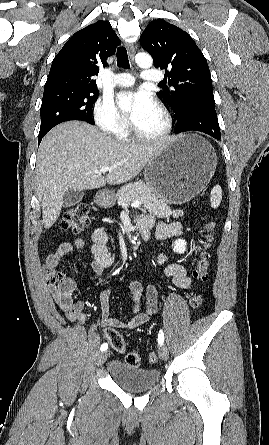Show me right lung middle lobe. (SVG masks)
Returning a JSON list of instances; mask_svg holds the SVG:
<instances>
[{"label":"right lung middle lobe","instance_id":"1","mask_svg":"<svg viewBox=\"0 0 269 445\" xmlns=\"http://www.w3.org/2000/svg\"><path fill=\"white\" fill-rule=\"evenodd\" d=\"M99 96L97 90L57 89L43 93L40 108V143L46 133L57 124L69 120H81L94 124L92 107Z\"/></svg>","mask_w":269,"mask_h":445}]
</instances>
